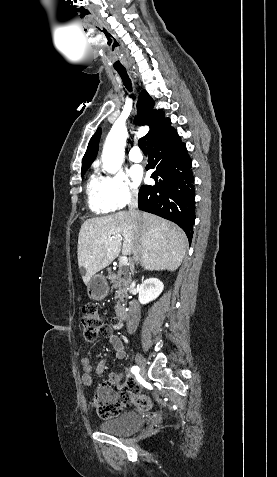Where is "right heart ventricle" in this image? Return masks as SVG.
Listing matches in <instances>:
<instances>
[{
    "label": "right heart ventricle",
    "mask_w": 277,
    "mask_h": 477,
    "mask_svg": "<svg viewBox=\"0 0 277 477\" xmlns=\"http://www.w3.org/2000/svg\"><path fill=\"white\" fill-rule=\"evenodd\" d=\"M87 202L90 210L96 214H106L112 211L106 194L103 178L91 174L86 185Z\"/></svg>",
    "instance_id": "obj_1"
}]
</instances>
